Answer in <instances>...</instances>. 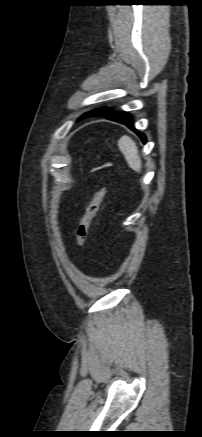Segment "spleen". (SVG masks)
<instances>
[{
    "mask_svg": "<svg viewBox=\"0 0 202 437\" xmlns=\"http://www.w3.org/2000/svg\"><path fill=\"white\" fill-rule=\"evenodd\" d=\"M118 147L123 153L130 168L140 173L142 169V161L136 143L132 138L126 135L122 136L118 141Z\"/></svg>",
    "mask_w": 202,
    "mask_h": 437,
    "instance_id": "obj_1",
    "label": "spleen"
}]
</instances>
